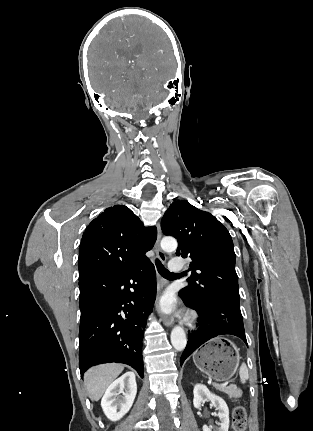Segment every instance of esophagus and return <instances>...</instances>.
<instances>
[{"mask_svg": "<svg viewBox=\"0 0 313 431\" xmlns=\"http://www.w3.org/2000/svg\"><path fill=\"white\" fill-rule=\"evenodd\" d=\"M160 239H161V228H160V224H157V239L154 245V249L156 252L157 257L162 261L165 262L166 261V255L165 253L162 251L161 247H160ZM163 286L164 283L163 281L158 277V282H157V289H158V293L160 294L163 290ZM160 318L161 321L163 322V324L167 327H171L173 325V318L160 314Z\"/></svg>", "mask_w": 313, "mask_h": 431, "instance_id": "34e87169", "label": "esophagus"}]
</instances>
